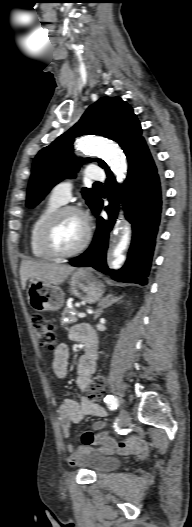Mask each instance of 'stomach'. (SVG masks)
Here are the masks:
<instances>
[{
    "instance_id": "0dacf381",
    "label": "stomach",
    "mask_w": 192,
    "mask_h": 527,
    "mask_svg": "<svg viewBox=\"0 0 192 527\" xmlns=\"http://www.w3.org/2000/svg\"><path fill=\"white\" fill-rule=\"evenodd\" d=\"M69 284L70 292L87 303H95L104 293L103 283L93 269H78ZM27 296L30 306L38 311H56L64 304V293L59 287L36 279L30 280Z\"/></svg>"
}]
</instances>
